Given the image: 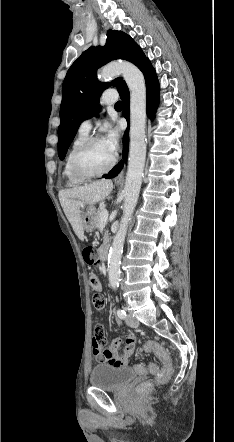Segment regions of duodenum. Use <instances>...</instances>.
Segmentation results:
<instances>
[{
	"label": "duodenum",
	"mask_w": 234,
	"mask_h": 442,
	"mask_svg": "<svg viewBox=\"0 0 234 442\" xmlns=\"http://www.w3.org/2000/svg\"><path fill=\"white\" fill-rule=\"evenodd\" d=\"M100 256H101V259H102L103 261H107V260H108V256H109V246H104V247L101 248V250H100Z\"/></svg>",
	"instance_id": "obj_1"
}]
</instances>
